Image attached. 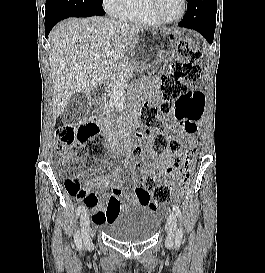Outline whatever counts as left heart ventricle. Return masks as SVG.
<instances>
[{"label":"left heart ventricle","mask_w":265,"mask_h":273,"mask_svg":"<svg viewBox=\"0 0 265 273\" xmlns=\"http://www.w3.org/2000/svg\"><path fill=\"white\" fill-rule=\"evenodd\" d=\"M159 12L166 19H175L182 12V0H159Z\"/></svg>","instance_id":"b2bd125f"}]
</instances>
